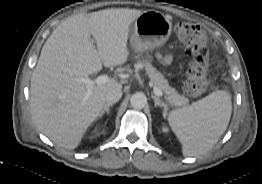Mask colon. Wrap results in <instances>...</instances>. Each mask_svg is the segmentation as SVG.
Masks as SVG:
<instances>
[{"label":"colon","mask_w":262,"mask_h":184,"mask_svg":"<svg viewBox=\"0 0 262 184\" xmlns=\"http://www.w3.org/2000/svg\"><path fill=\"white\" fill-rule=\"evenodd\" d=\"M175 31L187 54L192 57L186 70L184 90L190 96H199L208 87L207 35L201 26L185 21L179 22Z\"/></svg>","instance_id":"obj_1"}]
</instances>
